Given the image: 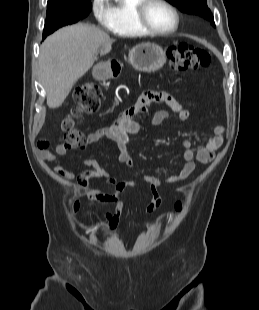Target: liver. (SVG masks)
I'll list each match as a JSON object with an SVG mask.
<instances>
[{
    "label": "liver",
    "mask_w": 259,
    "mask_h": 310,
    "mask_svg": "<svg viewBox=\"0 0 259 310\" xmlns=\"http://www.w3.org/2000/svg\"><path fill=\"white\" fill-rule=\"evenodd\" d=\"M113 42L101 29L79 23L58 30L42 43L39 74L49 108L62 105L74 84L92 67L98 49L108 53Z\"/></svg>",
    "instance_id": "1"
}]
</instances>
